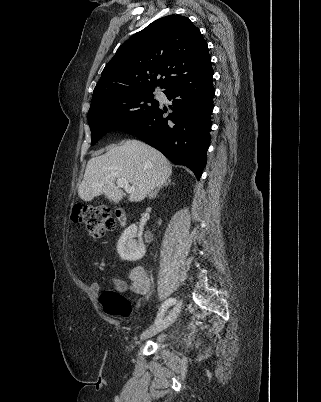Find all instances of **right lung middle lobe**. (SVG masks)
Returning <instances> with one entry per match:
<instances>
[{"mask_svg":"<svg viewBox=\"0 0 321 402\" xmlns=\"http://www.w3.org/2000/svg\"><path fill=\"white\" fill-rule=\"evenodd\" d=\"M153 91L133 92L91 106L88 112L91 145H95L107 132L134 123L154 112L159 103L154 99Z\"/></svg>","mask_w":321,"mask_h":402,"instance_id":"dd1d6c3e","label":"right lung middle lobe"}]
</instances>
